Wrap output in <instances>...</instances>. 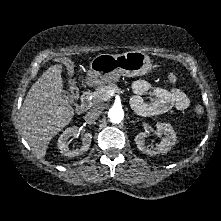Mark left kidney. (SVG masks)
<instances>
[{
    "label": "left kidney",
    "mask_w": 221,
    "mask_h": 221,
    "mask_svg": "<svg viewBox=\"0 0 221 221\" xmlns=\"http://www.w3.org/2000/svg\"><path fill=\"white\" fill-rule=\"evenodd\" d=\"M156 126H157V132L159 134L164 135V137L162 138V141L156 147L146 146L145 137L148 136L147 132H140L135 137V142H136L138 149L141 152L146 153L148 155L167 153L176 142V134L171 124L157 123Z\"/></svg>",
    "instance_id": "1"
}]
</instances>
